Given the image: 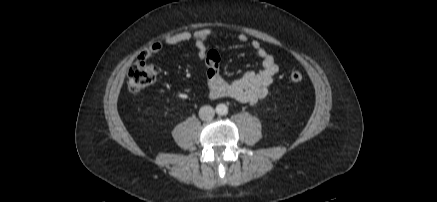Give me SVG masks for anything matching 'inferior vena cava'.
Returning <instances> with one entry per match:
<instances>
[{"label": "inferior vena cava", "mask_w": 437, "mask_h": 202, "mask_svg": "<svg viewBox=\"0 0 437 202\" xmlns=\"http://www.w3.org/2000/svg\"><path fill=\"white\" fill-rule=\"evenodd\" d=\"M215 115V110L211 106H203L199 110V117L203 121L212 120Z\"/></svg>", "instance_id": "1"}]
</instances>
